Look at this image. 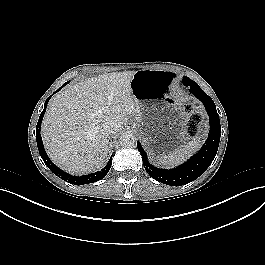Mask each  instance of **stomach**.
Returning a JSON list of instances; mask_svg holds the SVG:
<instances>
[{
  "instance_id": "stomach-1",
  "label": "stomach",
  "mask_w": 265,
  "mask_h": 265,
  "mask_svg": "<svg viewBox=\"0 0 265 265\" xmlns=\"http://www.w3.org/2000/svg\"><path fill=\"white\" fill-rule=\"evenodd\" d=\"M175 74L165 70H139L132 81V94L139 114L134 125L147 153L155 160L170 159L185 136L181 104L171 96Z\"/></svg>"
}]
</instances>
